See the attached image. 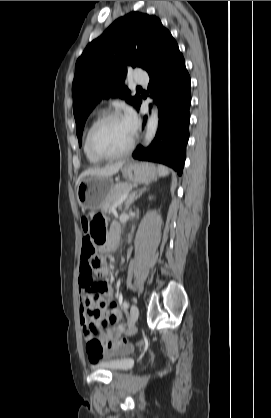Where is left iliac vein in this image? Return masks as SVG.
<instances>
[{"mask_svg":"<svg viewBox=\"0 0 271 418\" xmlns=\"http://www.w3.org/2000/svg\"><path fill=\"white\" fill-rule=\"evenodd\" d=\"M139 317V310L136 305L131 306L130 310V325H134Z\"/></svg>","mask_w":271,"mask_h":418,"instance_id":"obj_1","label":"left iliac vein"}]
</instances>
